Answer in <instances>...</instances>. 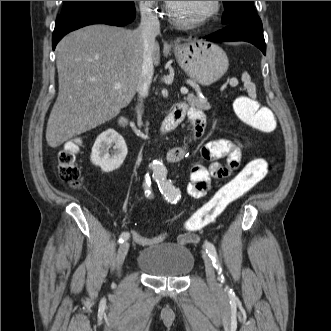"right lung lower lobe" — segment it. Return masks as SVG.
I'll list each match as a JSON object with an SVG mask.
<instances>
[{
    "label": "right lung lower lobe",
    "instance_id": "98d812e1",
    "mask_svg": "<svg viewBox=\"0 0 331 331\" xmlns=\"http://www.w3.org/2000/svg\"><path fill=\"white\" fill-rule=\"evenodd\" d=\"M134 1L93 5L57 18L52 36V48L67 33L91 24L125 26L135 19Z\"/></svg>",
    "mask_w": 331,
    "mask_h": 331
}]
</instances>
